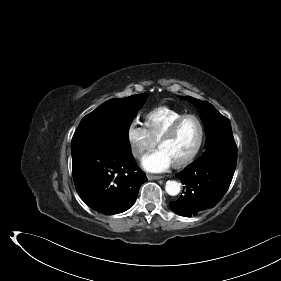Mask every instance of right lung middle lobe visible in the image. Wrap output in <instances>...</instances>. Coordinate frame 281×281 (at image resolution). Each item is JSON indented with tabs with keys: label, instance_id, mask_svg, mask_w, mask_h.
I'll return each mask as SVG.
<instances>
[{
	"label": "right lung middle lobe",
	"instance_id": "1",
	"mask_svg": "<svg viewBox=\"0 0 281 281\" xmlns=\"http://www.w3.org/2000/svg\"><path fill=\"white\" fill-rule=\"evenodd\" d=\"M147 97L148 94L144 93L111 99L86 115L73 135L72 156L88 151L131 149L129 128Z\"/></svg>",
	"mask_w": 281,
	"mask_h": 281
}]
</instances>
